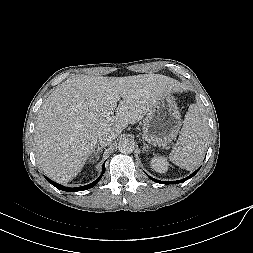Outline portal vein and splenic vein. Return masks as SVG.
<instances>
[{"instance_id": "obj_1", "label": "portal vein and splenic vein", "mask_w": 253, "mask_h": 253, "mask_svg": "<svg viewBox=\"0 0 253 253\" xmlns=\"http://www.w3.org/2000/svg\"><path fill=\"white\" fill-rule=\"evenodd\" d=\"M112 114V111H106V115L109 116Z\"/></svg>"}]
</instances>
